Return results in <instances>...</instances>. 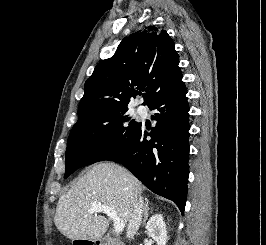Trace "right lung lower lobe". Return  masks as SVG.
I'll use <instances>...</instances> for the list:
<instances>
[{
  "label": "right lung lower lobe",
  "instance_id": "1",
  "mask_svg": "<svg viewBox=\"0 0 266 245\" xmlns=\"http://www.w3.org/2000/svg\"><path fill=\"white\" fill-rule=\"evenodd\" d=\"M182 81L153 99L151 130L140 123L131 143L107 160L123 164L148 189L174 201L184 213L189 175V106ZM147 137H151L147 140Z\"/></svg>",
  "mask_w": 266,
  "mask_h": 245
}]
</instances>
